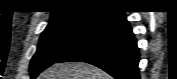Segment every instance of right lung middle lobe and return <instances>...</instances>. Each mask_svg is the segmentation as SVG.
Wrapping results in <instances>:
<instances>
[{
	"instance_id": "dd1d6c3e",
	"label": "right lung middle lobe",
	"mask_w": 177,
	"mask_h": 79,
	"mask_svg": "<svg viewBox=\"0 0 177 79\" xmlns=\"http://www.w3.org/2000/svg\"><path fill=\"white\" fill-rule=\"evenodd\" d=\"M101 20V16H91L49 24L42 33L37 52L31 60V78L34 79L78 45Z\"/></svg>"
}]
</instances>
